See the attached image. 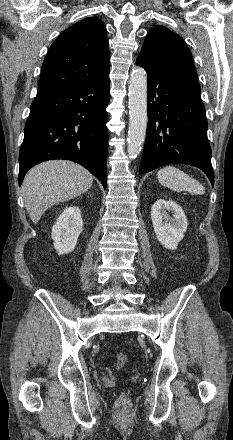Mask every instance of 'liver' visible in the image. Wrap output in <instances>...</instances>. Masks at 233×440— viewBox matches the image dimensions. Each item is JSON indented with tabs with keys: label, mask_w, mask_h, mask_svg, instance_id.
<instances>
[{
	"label": "liver",
	"mask_w": 233,
	"mask_h": 440,
	"mask_svg": "<svg viewBox=\"0 0 233 440\" xmlns=\"http://www.w3.org/2000/svg\"><path fill=\"white\" fill-rule=\"evenodd\" d=\"M93 183L84 167L66 160H53L33 167L26 175L22 191L33 223H38L51 206L86 192Z\"/></svg>",
	"instance_id": "obj_1"
}]
</instances>
